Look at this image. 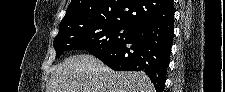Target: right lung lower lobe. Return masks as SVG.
<instances>
[{"mask_svg": "<svg viewBox=\"0 0 225 92\" xmlns=\"http://www.w3.org/2000/svg\"><path fill=\"white\" fill-rule=\"evenodd\" d=\"M174 37V18L133 28L124 41L91 53L117 71H144L157 92H163Z\"/></svg>", "mask_w": 225, "mask_h": 92, "instance_id": "1", "label": "right lung lower lobe"}]
</instances>
